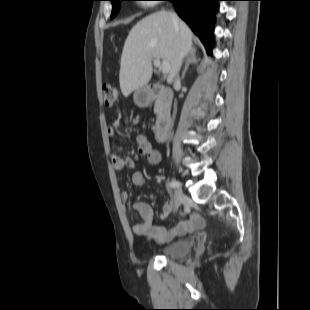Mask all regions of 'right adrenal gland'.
Returning a JSON list of instances; mask_svg holds the SVG:
<instances>
[{
  "label": "right adrenal gland",
  "mask_w": 310,
  "mask_h": 310,
  "mask_svg": "<svg viewBox=\"0 0 310 310\" xmlns=\"http://www.w3.org/2000/svg\"><path fill=\"white\" fill-rule=\"evenodd\" d=\"M199 61H200V59L197 58L195 50H192V51H190L188 53V57H187V60H186V65H185V68H184V70L182 72V77H181L182 80L185 77V74H186V71H187L189 65L190 64H197Z\"/></svg>",
  "instance_id": "1"
}]
</instances>
